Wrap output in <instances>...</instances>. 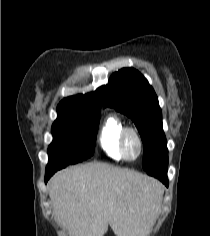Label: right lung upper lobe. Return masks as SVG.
I'll return each instance as SVG.
<instances>
[{
  "label": "right lung upper lobe",
  "mask_w": 210,
  "mask_h": 236,
  "mask_svg": "<svg viewBox=\"0 0 210 236\" xmlns=\"http://www.w3.org/2000/svg\"><path fill=\"white\" fill-rule=\"evenodd\" d=\"M103 87L98 88L95 92L85 95L79 94L63 99L57 107V110L71 112H86L101 110Z\"/></svg>",
  "instance_id": "1"
}]
</instances>
